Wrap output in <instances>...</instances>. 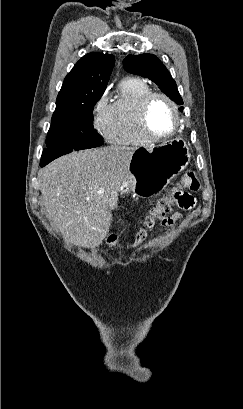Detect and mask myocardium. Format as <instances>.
Segmentation results:
<instances>
[{
  "mask_svg": "<svg viewBox=\"0 0 243 409\" xmlns=\"http://www.w3.org/2000/svg\"><path fill=\"white\" fill-rule=\"evenodd\" d=\"M156 98H161L163 100H165L171 107L174 117H175V127L174 129L165 135H157L155 134L149 125V110H150V106L151 103L154 99ZM139 121H140V125L141 128L144 132V134L151 140V141H162V140H166L169 139L171 137H173L174 135H176V133L178 132L180 125H181V117H180V113H179V109L176 105V103L174 102L173 99H171L168 95H166L165 93L162 92H150L148 93L141 101L140 103V107H139Z\"/></svg>",
  "mask_w": 243,
  "mask_h": 409,
  "instance_id": "obj_1",
  "label": "myocardium"
}]
</instances>
